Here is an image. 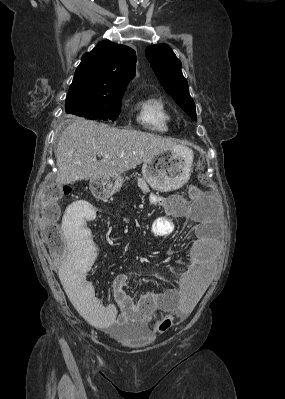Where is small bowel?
I'll list each match as a JSON object with an SVG mask.
<instances>
[{
	"instance_id": "obj_1",
	"label": "small bowel",
	"mask_w": 285,
	"mask_h": 399,
	"mask_svg": "<svg viewBox=\"0 0 285 399\" xmlns=\"http://www.w3.org/2000/svg\"><path fill=\"white\" fill-rule=\"evenodd\" d=\"M168 200L163 203L160 197L149 195L152 204L161 205L165 210V216L156 218L150 225V232L155 236L167 237L173 234L175 226L172 217H192L193 205L185 204L176 195L170 196ZM89 211V207L82 201H74L67 207L63 229L68 246L75 250L68 260L54 261L62 286L78 312L92 325L107 332L135 323L155 333H162L186 319L194 310L210 277L206 237L198 234L190 241L188 264L177 288L162 292L139 289L135 297L127 291L124 281L117 279L112 286L115 305L103 306L88 280L90 266L96 256L91 252L89 221L83 217V212L85 216ZM157 308L166 310L168 314L163 319L156 318L154 311Z\"/></svg>"
}]
</instances>
